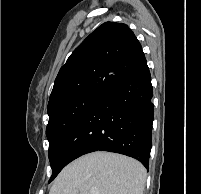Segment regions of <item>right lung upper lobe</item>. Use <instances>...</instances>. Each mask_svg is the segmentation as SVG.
<instances>
[{
  "mask_svg": "<svg viewBox=\"0 0 201 194\" xmlns=\"http://www.w3.org/2000/svg\"><path fill=\"white\" fill-rule=\"evenodd\" d=\"M144 60L142 46L126 24H102L61 67L50 95L48 111L78 97L102 95Z\"/></svg>",
  "mask_w": 201,
  "mask_h": 194,
  "instance_id": "obj_1",
  "label": "right lung upper lobe"
}]
</instances>
